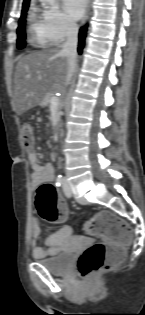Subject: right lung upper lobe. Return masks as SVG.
<instances>
[{"instance_id":"right-lung-upper-lobe-1","label":"right lung upper lobe","mask_w":145,"mask_h":315,"mask_svg":"<svg viewBox=\"0 0 145 315\" xmlns=\"http://www.w3.org/2000/svg\"><path fill=\"white\" fill-rule=\"evenodd\" d=\"M29 1H30V0H24V2H23V7L29 6Z\"/></svg>"}]
</instances>
